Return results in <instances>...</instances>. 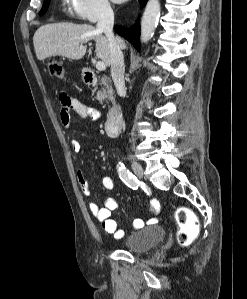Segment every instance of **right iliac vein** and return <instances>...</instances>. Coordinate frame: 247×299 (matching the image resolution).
Segmentation results:
<instances>
[{
  "label": "right iliac vein",
  "mask_w": 247,
  "mask_h": 299,
  "mask_svg": "<svg viewBox=\"0 0 247 299\" xmlns=\"http://www.w3.org/2000/svg\"><path fill=\"white\" fill-rule=\"evenodd\" d=\"M130 161H131V167H132L134 173H135L138 177L142 178L143 175H144V171H143L142 166H141L136 160H134V159H132V158H130Z\"/></svg>",
  "instance_id": "right-iliac-vein-1"
}]
</instances>
